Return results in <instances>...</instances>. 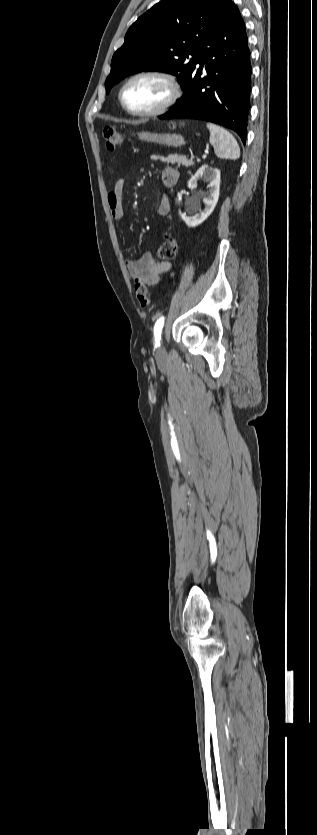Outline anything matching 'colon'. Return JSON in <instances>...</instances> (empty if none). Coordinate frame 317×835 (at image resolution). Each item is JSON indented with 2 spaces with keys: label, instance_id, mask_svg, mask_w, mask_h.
<instances>
[{
  "label": "colon",
  "instance_id": "obj_1",
  "mask_svg": "<svg viewBox=\"0 0 317 835\" xmlns=\"http://www.w3.org/2000/svg\"><path fill=\"white\" fill-rule=\"evenodd\" d=\"M106 146L109 150H115L123 143V134L116 128L108 126L103 132ZM180 250L179 241L173 236L167 234L164 243L159 247L157 255L161 259H173ZM135 292L138 301L142 307L150 304L147 295V287L141 283H135Z\"/></svg>",
  "mask_w": 317,
  "mask_h": 835
}]
</instances>
